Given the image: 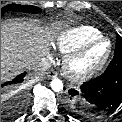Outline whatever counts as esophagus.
<instances>
[{"instance_id": "obj_1", "label": "esophagus", "mask_w": 122, "mask_h": 122, "mask_svg": "<svg viewBox=\"0 0 122 122\" xmlns=\"http://www.w3.org/2000/svg\"><path fill=\"white\" fill-rule=\"evenodd\" d=\"M47 76H48L49 78L56 77V76H57V72L54 71V70H51V71H49V72L47 73Z\"/></svg>"}]
</instances>
